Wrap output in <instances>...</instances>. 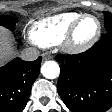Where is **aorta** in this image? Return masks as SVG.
<instances>
[{"label": "aorta", "instance_id": "aorta-1", "mask_svg": "<svg viewBox=\"0 0 112 112\" xmlns=\"http://www.w3.org/2000/svg\"><path fill=\"white\" fill-rule=\"evenodd\" d=\"M41 73L47 79H55L60 74V67L56 61H45L41 66Z\"/></svg>", "mask_w": 112, "mask_h": 112}]
</instances>
